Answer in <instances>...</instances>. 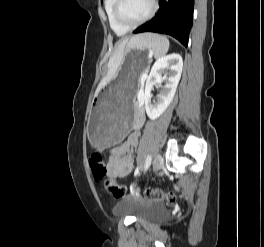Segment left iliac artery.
Returning <instances> with one entry per match:
<instances>
[{"label":"left iliac artery","instance_id":"1","mask_svg":"<svg viewBox=\"0 0 264 247\" xmlns=\"http://www.w3.org/2000/svg\"><path fill=\"white\" fill-rule=\"evenodd\" d=\"M151 161H152V157L151 155H148L144 165V172L149 168ZM138 171H139V167L136 168L135 174L138 173Z\"/></svg>","mask_w":264,"mask_h":247}]
</instances>
